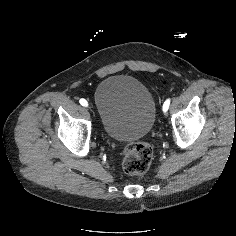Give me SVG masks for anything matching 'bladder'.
Wrapping results in <instances>:
<instances>
[{
  "instance_id": "1",
  "label": "bladder",
  "mask_w": 236,
  "mask_h": 236,
  "mask_svg": "<svg viewBox=\"0 0 236 236\" xmlns=\"http://www.w3.org/2000/svg\"><path fill=\"white\" fill-rule=\"evenodd\" d=\"M94 102L101 128L112 140L135 142L153 126L155 101L134 77L115 75L104 79L95 91Z\"/></svg>"
}]
</instances>
